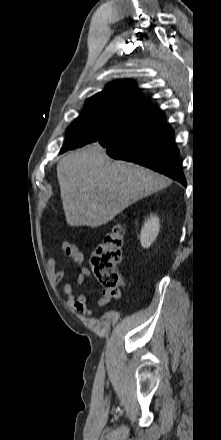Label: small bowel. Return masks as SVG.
<instances>
[{
    "label": "small bowel",
    "instance_id": "obj_1",
    "mask_svg": "<svg viewBox=\"0 0 221 440\" xmlns=\"http://www.w3.org/2000/svg\"><path fill=\"white\" fill-rule=\"evenodd\" d=\"M61 250L66 259L72 260L76 265L80 267V273L77 276L76 284L82 285L85 283L86 279L90 275V270L83 266L84 254L83 252L73 243L69 241H63L61 243ZM46 268L51 276V279L58 283L62 281L65 276V267L56 269V260L54 257L49 256L46 261ZM64 291L67 295V305L74 311L81 312L86 317H93L95 315L94 311L89 309L87 306V297L84 293L78 294L76 297L73 296V287L71 284H65ZM120 297L118 291L104 289L101 295L96 298L97 305L101 307L109 306L114 300Z\"/></svg>",
    "mask_w": 221,
    "mask_h": 440
}]
</instances>
